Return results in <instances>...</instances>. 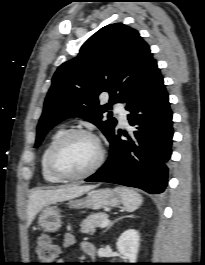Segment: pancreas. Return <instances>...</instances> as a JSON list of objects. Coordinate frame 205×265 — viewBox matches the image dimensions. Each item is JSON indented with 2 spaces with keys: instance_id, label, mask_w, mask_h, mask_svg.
I'll list each match as a JSON object with an SVG mask.
<instances>
[{
  "instance_id": "1",
  "label": "pancreas",
  "mask_w": 205,
  "mask_h": 265,
  "mask_svg": "<svg viewBox=\"0 0 205 265\" xmlns=\"http://www.w3.org/2000/svg\"><path fill=\"white\" fill-rule=\"evenodd\" d=\"M106 218H108V215L103 212L90 214L81 222V232L87 234L93 233L97 227L101 226L103 220Z\"/></svg>"
}]
</instances>
